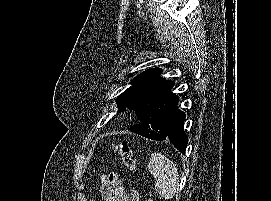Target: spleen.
<instances>
[{
    "label": "spleen",
    "instance_id": "1",
    "mask_svg": "<svg viewBox=\"0 0 271 201\" xmlns=\"http://www.w3.org/2000/svg\"><path fill=\"white\" fill-rule=\"evenodd\" d=\"M148 168L155 179L158 194L165 199H172L179 185V174L174 162L160 153H153Z\"/></svg>",
    "mask_w": 271,
    "mask_h": 201
}]
</instances>
